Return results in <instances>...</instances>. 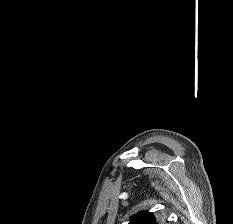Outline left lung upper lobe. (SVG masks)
<instances>
[{"mask_svg": "<svg viewBox=\"0 0 233 224\" xmlns=\"http://www.w3.org/2000/svg\"><path fill=\"white\" fill-rule=\"evenodd\" d=\"M160 218L156 217L153 213L139 212L131 217L129 224H162Z\"/></svg>", "mask_w": 233, "mask_h": 224, "instance_id": "1", "label": "left lung upper lobe"}]
</instances>
